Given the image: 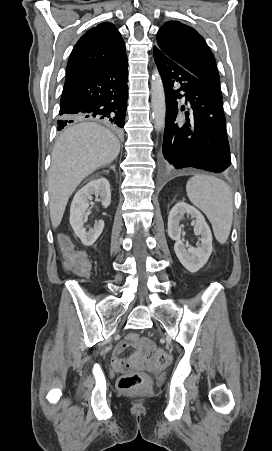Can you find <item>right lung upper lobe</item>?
Wrapping results in <instances>:
<instances>
[{"instance_id":"1","label":"right lung upper lobe","mask_w":272,"mask_h":451,"mask_svg":"<svg viewBox=\"0 0 272 451\" xmlns=\"http://www.w3.org/2000/svg\"><path fill=\"white\" fill-rule=\"evenodd\" d=\"M125 55V44L116 27L101 23L76 43L68 60L66 78L109 65Z\"/></svg>"}]
</instances>
